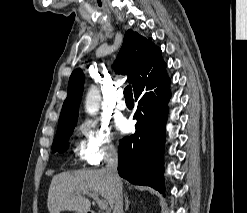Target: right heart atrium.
<instances>
[{"mask_svg":"<svg viewBox=\"0 0 247 213\" xmlns=\"http://www.w3.org/2000/svg\"><path fill=\"white\" fill-rule=\"evenodd\" d=\"M79 132L81 141L76 155L81 162L89 166H98L103 160L116 154L113 133L108 125L85 121L80 124Z\"/></svg>","mask_w":247,"mask_h":213,"instance_id":"d8ad5b80","label":"right heart atrium"}]
</instances>
